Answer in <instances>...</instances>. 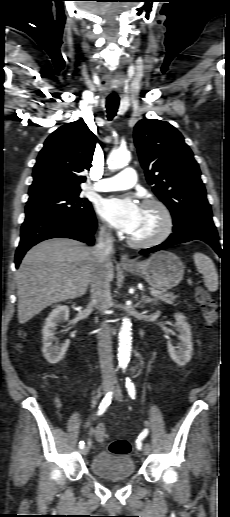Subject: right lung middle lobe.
<instances>
[{"label":"right lung middle lobe","instance_id":"dd1d6c3e","mask_svg":"<svg viewBox=\"0 0 230 517\" xmlns=\"http://www.w3.org/2000/svg\"><path fill=\"white\" fill-rule=\"evenodd\" d=\"M80 192L81 190H78L29 200L26 205V217L46 213L70 216L93 213L91 203L80 198Z\"/></svg>","mask_w":230,"mask_h":517}]
</instances>
